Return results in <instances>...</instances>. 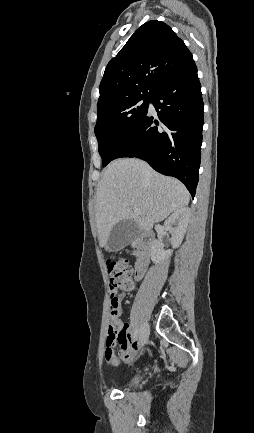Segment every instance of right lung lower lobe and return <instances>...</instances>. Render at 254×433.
<instances>
[{
	"label": "right lung lower lobe",
	"instance_id": "right-lung-lower-lobe-1",
	"mask_svg": "<svg viewBox=\"0 0 254 433\" xmlns=\"http://www.w3.org/2000/svg\"><path fill=\"white\" fill-rule=\"evenodd\" d=\"M149 111L116 151L143 159L161 174L179 179L195 196L201 160L203 100L193 58L171 76L151 98Z\"/></svg>",
	"mask_w": 254,
	"mask_h": 433
}]
</instances>
